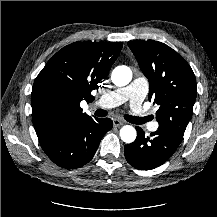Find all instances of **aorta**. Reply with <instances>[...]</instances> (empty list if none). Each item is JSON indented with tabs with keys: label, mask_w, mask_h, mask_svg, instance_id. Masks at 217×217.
Returning <instances> with one entry per match:
<instances>
[{
	"label": "aorta",
	"mask_w": 217,
	"mask_h": 217,
	"mask_svg": "<svg viewBox=\"0 0 217 217\" xmlns=\"http://www.w3.org/2000/svg\"><path fill=\"white\" fill-rule=\"evenodd\" d=\"M132 79V71L129 67L121 65L117 66L111 75L112 82L118 86L123 87L130 83ZM136 129L130 125H125L120 129L121 140L125 143H132L136 139Z\"/></svg>",
	"instance_id": "obj_1"
}]
</instances>
